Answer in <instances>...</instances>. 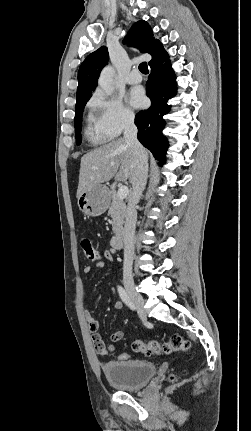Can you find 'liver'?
I'll return each mask as SVG.
<instances>
[{
    "label": "liver",
    "mask_w": 251,
    "mask_h": 431,
    "mask_svg": "<svg viewBox=\"0 0 251 431\" xmlns=\"http://www.w3.org/2000/svg\"><path fill=\"white\" fill-rule=\"evenodd\" d=\"M145 150V149H144ZM148 160V153L145 150ZM135 174L133 149L124 138L96 148L81 158L77 198L90 188L110 181L132 179Z\"/></svg>",
    "instance_id": "1"
}]
</instances>
